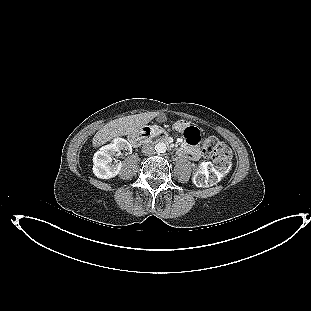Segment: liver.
I'll return each mask as SVG.
<instances>
[{"mask_svg": "<svg viewBox=\"0 0 311 311\" xmlns=\"http://www.w3.org/2000/svg\"><path fill=\"white\" fill-rule=\"evenodd\" d=\"M156 116V112H147L110 121L93 137V147H99L118 136L137 135Z\"/></svg>", "mask_w": 311, "mask_h": 311, "instance_id": "obj_1", "label": "liver"}]
</instances>
